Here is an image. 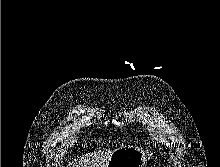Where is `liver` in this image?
I'll return each instance as SVG.
<instances>
[{
  "instance_id": "liver-1",
  "label": "liver",
  "mask_w": 220,
  "mask_h": 167,
  "mask_svg": "<svg viewBox=\"0 0 220 167\" xmlns=\"http://www.w3.org/2000/svg\"><path fill=\"white\" fill-rule=\"evenodd\" d=\"M113 152L111 150H103L81 156L74 160L69 167H106Z\"/></svg>"
}]
</instances>
